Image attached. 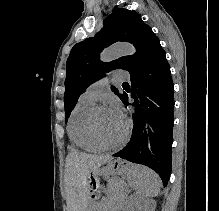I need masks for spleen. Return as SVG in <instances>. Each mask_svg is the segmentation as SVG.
<instances>
[{"instance_id": "spleen-1", "label": "spleen", "mask_w": 219, "mask_h": 211, "mask_svg": "<svg viewBox=\"0 0 219 211\" xmlns=\"http://www.w3.org/2000/svg\"><path fill=\"white\" fill-rule=\"evenodd\" d=\"M129 185L141 193L142 197H155L161 189V179L150 167L137 165L132 173H129Z\"/></svg>"}]
</instances>
